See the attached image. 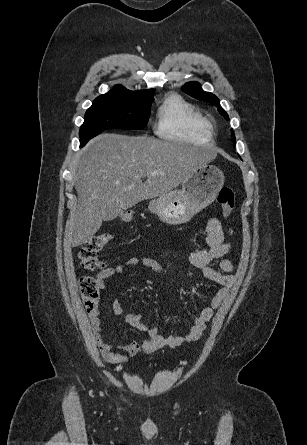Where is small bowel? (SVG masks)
<instances>
[{"mask_svg":"<svg viewBox=\"0 0 307 445\" xmlns=\"http://www.w3.org/2000/svg\"><path fill=\"white\" fill-rule=\"evenodd\" d=\"M231 235L232 230L230 228L225 230L217 218H211L206 226L205 248L197 250L189 256L190 264L199 269L207 280L220 287L214 292L209 304L202 309L199 316L194 320L192 327L185 334L163 336L157 328L149 327L144 322L141 314H125L118 300H114L112 307L115 314L123 317L124 321L133 328L146 332L148 337L142 343L132 342L113 346L106 342L102 336L99 312L97 310L91 311L89 320L102 357L108 362L120 364L127 362L129 357L141 351L152 353L164 347L176 348L199 340L206 328V323L221 305L232 285L233 276L230 273L234 271L235 267L234 263L226 258L231 249V243L228 239ZM125 266H144L156 274H160L163 269L173 268L171 263H161L148 256H132L126 260L125 265H116L100 271L96 275L100 288L103 289L105 282L111 278L122 275L125 272Z\"/></svg>","mask_w":307,"mask_h":445,"instance_id":"small-bowel-1","label":"small bowel"}]
</instances>
